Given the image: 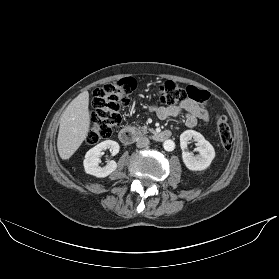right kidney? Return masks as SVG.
Wrapping results in <instances>:
<instances>
[{"label": "right kidney", "instance_id": "right-kidney-1", "mask_svg": "<svg viewBox=\"0 0 279 279\" xmlns=\"http://www.w3.org/2000/svg\"><path fill=\"white\" fill-rule=\"evenodd\" d=\"M106 149H109L112 155H116L119 152V144L113 140H106L95 147L91 148L85 155V159L83 161L84 169L87 174L96 176L98 178L107 177L117 168V163L113 160L108 161V163L100 167L99 163L101 162L99 156Z\"/></svg>", "mask_w": 279, "mask_h": 279}]
</instances>
